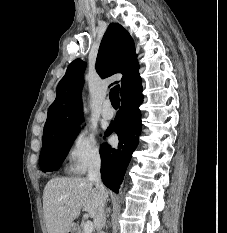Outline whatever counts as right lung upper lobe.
I'll return each instance as SVG.
<instances>
[{"mask_svg":"<svg viewBox=\"0 0 227 233\" xmlns=\"http://www.w3.org/2000/svg\"><path fill=\"white\" fill-rule=\"evenodd\" d=\"M136 58L130 34L120 24L111 23L99 47L96 70L101 78L115 73L123 74L120 81L121 98L142 86ZM84 70L85 63L80 59L68 66L57 86L56 99L49 107L42 142L59 137L82 123L81 92Z\"/></svg>","mask_w":227,"mask_h":233,"instance_id":"1","label":"right lung upper lobe"}]
</instances>
